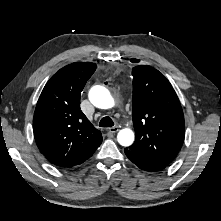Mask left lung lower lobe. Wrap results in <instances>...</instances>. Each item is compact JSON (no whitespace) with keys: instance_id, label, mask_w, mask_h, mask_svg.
I'll return each instance as SVG.
<instances>
[{"instance_id":"left-lung-lower-lobe-1","label":"left lung lower lobe","mask_w":221,"mask_h":221,"mask_svg":"<svg viewBox=\"0 0 221 221\" xmlns=\"http://www.w3.org/2000/svg\"><path fill=\"white\" fill-rule=\"evenodd\" d=\"M124 152L131 162H133L140 169L145 171L157 172L163 170L167 166L150 157L144 156L139 153H135L129 150L128 148H125Z\"/></svg>"}]
</instances>
